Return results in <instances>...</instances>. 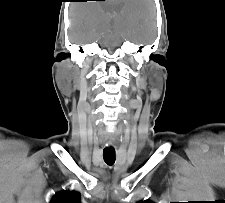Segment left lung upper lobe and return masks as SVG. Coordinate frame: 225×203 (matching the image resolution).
<instances>
[{
  "label": "left lung upper lobe",
  "mask_w": 225,
  "mask_h": 203,
  "mask_svg": "<svg viewBox=\"0 0 225 203\" xmlns=\"http://www.w3.org/2000/svg\"><path fill=\"white\" fill-rule=\"evenodd\" d=\"M138 203H153V202H151V201H149V200H145V201H140V202H138Z\"/></svg>",
  "instance_id": "1"
}]
</instances>
